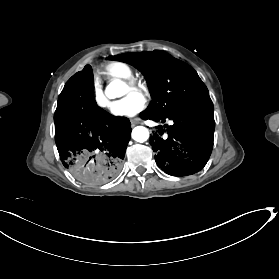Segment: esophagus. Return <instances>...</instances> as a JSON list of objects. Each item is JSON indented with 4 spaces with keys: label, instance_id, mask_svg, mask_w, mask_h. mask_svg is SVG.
I'll use <instances>...</instances> for the list:
<instances>
[{
    "label": "esophagus",
    "instance_id": "esophagus-1",
    "mask_svg": "<svg viewBox=\"0 0 279 279\" xmlns=\"http://www.w3.org/2000/svg\"><path fill=\"white\" fill-rule=\"evenodd\" d=\"M130 122H131L132 126H135L136 124L139 123V120L137 118H131Z\"/></svg>",
    "mask_w": 279,
    "mask_h": 279
}]
</instances>
